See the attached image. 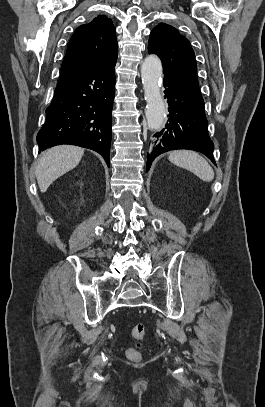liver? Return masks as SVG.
Listing matches in <instances>:
<instances>
[{"instance_id":"liver-1","label":"liver","mask_w":265,"mask_h":407,"mask_svg":"<svg viewBox=\"0 0 265 407\" xmlns=\"http://www.w3.org/2000/svg\"><path fill=\"white\" fill-rule=\"evenodd\" d=\"M84 149L72 145H60L48 149L39 160L36 178L42 193L60 176L74 169L80 162Z\"/></svg>"}]
</instances>
